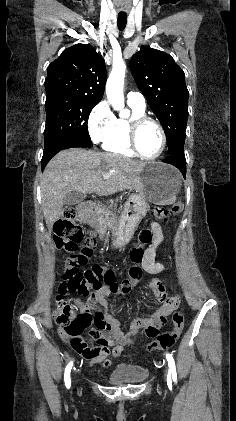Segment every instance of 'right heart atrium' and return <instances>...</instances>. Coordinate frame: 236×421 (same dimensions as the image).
Here are the masks:
<instances>
[{"label": "right heart atrium", "mask_w": 236, "mask_h": 421, "mask_svg": "<svg viewBox=\"0 0 236 421\" xmlns=\"http://www.w3.org/2000/svg\"><path fill=\"white\" fill-rule=\"evenodd\" d=\"M114 121V115L111 112L106 101L99 102L90 112L87 120L88 132L91 141L99 144L107 135Z\"/></svg>", "instance_id": "1"}]
</instances>
